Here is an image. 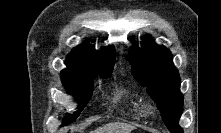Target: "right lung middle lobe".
I'll return each instance as SVG.
<instances>
[{
	"mask_svg": "<svg viewBox=\"0 0 221 133\" xmlns=\"http://www.w3.org/2000/svg\"><path fill=\"white\" fill-rule=\"evenodd\" d=\"M97 69H99V74L103 78H107L111 75L113 65L100 66L97 67ZM96 76L97 70L95 69V67L71 75L61 76L62 83L67 92L74 94L79 104L78 111H76L73 115L68 116L67 121L64 122L62 126L68 125L75 121L76 118L79 116L81 110L88 103L93 90L92 79H94Z\"/></svg>",
	"mask_w": 221,
	"mask_h": 133,
	"instance_id": "right-lung-middle-lobe-1",
	"label": "right lung middle lobe"
}]
</instances>
